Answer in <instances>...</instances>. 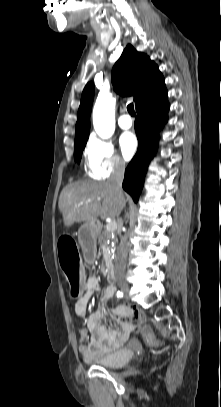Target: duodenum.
Listing matches in <instances>:
<instances>
[{"instance_id": "410a0bca", "label": "duodenum", "mask_w": 221, "mask_h": 407, "mask_svg": "<svg viewBox=\"0 0 221 407\" xmlns=\"http://www.w3.org/2000/svg\"><path fill=\"white\" fill-rule=\"evenodd\" d=\"M107 280H108L110 283H114L115 280H116L115 272H114V269H113L112 267H109V268L107 269Z\"/></svg>"}]
</instances>
